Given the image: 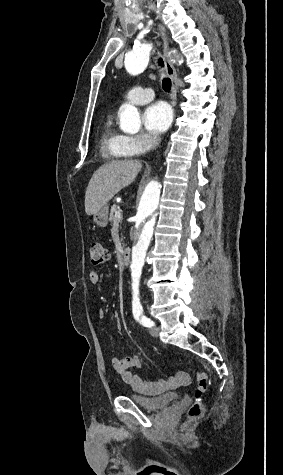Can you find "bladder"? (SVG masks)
Here are the masks:
<instances>
[{"label":"bladder","mask_w":283,"mask_h":475,"mask_svg":"<svg viewBox=\"0 0 283 475\" xmlns=\"http://www.w3.org/2000/svg\"><path fill=\"white\" fill-rule=\"evenodd\" d=\"M127 398L133 401L137 406L144 408L151 412H157L169 406L178 403V396H172L168 394H160L154 397H144L137 393L129 392Z\"/></svg>","instance_id":"31cf9c89"}]
</instances>
